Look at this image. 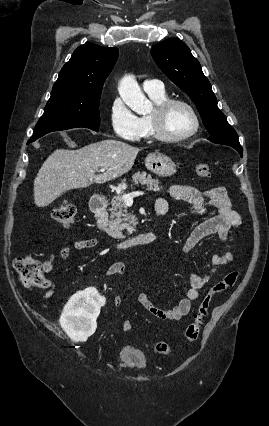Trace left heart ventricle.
<instances>
[{
    "label": "left heart ventricle",
    "instance_id": "obj_1",
    "mask_svg": "<svg viewBox=\"0 0 269 426\" xmlns=\"http://www.w3.org/2000/svg\"><path fill=\"white\" fill-rule=\"evenodd\" d=\"M193 126L192 113L181 105L171 108L165 120V130L170 135H182L190 131Z\"/></svg>",
    "mask_w": 269,
    "mask_h": 426
}]
</instances>
